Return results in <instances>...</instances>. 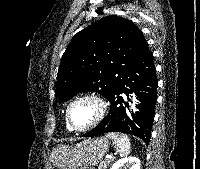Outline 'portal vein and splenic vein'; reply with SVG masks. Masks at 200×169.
<instances>
[{
    "label": "portal vein and splenic vein",
    "mask_w": 200,
    "mask_h": 169,
    "mask_svg": "<svg viewBox=\"0 0 200 169\" xmlns=\"http://www.w3.org/2000/svg\"><path fill=\"white\" fill-rule=\"evenodd\" d=\"M106 159H113L112 156H106Z\"/></svg>",
    "instance_id": "obj_1"
}]
</instances>
